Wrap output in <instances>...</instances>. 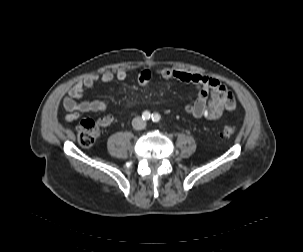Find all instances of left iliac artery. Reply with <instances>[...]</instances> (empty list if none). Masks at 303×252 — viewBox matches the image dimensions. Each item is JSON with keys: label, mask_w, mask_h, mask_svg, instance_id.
Instances as JSON below:
<instances>
[{"label": "left iliac artery", "mask_w": 303, "mask_h": 252, "mask_svg": "<svg viewBox=\"0 0 303 252\" xmlns=\"http://www.w3.org/2000/svg\"><path fill=\"white\" fill-rule=\"evenodd\" d=\"M152 120L153 122H158L160 120V115L157 113L152 114Z\"/></svg>", "instance_id": "1"}]
</instances>
